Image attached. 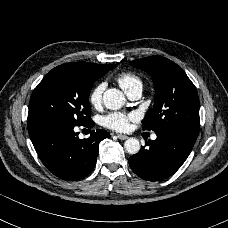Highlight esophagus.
Instances as JSON below:
<instances>
[{"mask_svg":"<svg viewBox=\"0 0 228 228\" xmlns=\"http://www.w3.org/2000/svg\"><path fill=\"white\" fill-rule=\"evenodd\" d=\"M117 137H118L120 140H126V139H128V136H127V135H124V134H118Z\"/></svg>","mask_w":228,"mask_h":228,"instance_id":"esophagus-1","label":"esophagus"}]
</instances>
